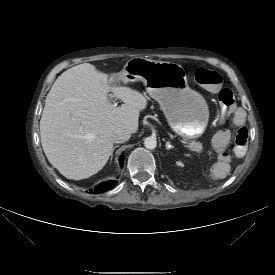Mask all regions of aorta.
Listing matches in <instances>:
<instances>
[{"label": "aorta", "instance_id": "762f6f07", "mask_svg": "<svg viewBox=\"0 0 275 275\" xmlns=\"http://www.w3.org/2000/svg\"><path fill=\"white\" fill-rule=\"evenodd\" d=\"M144 146H145L147 149H150V150L155 149L156 146H157V141H156V139L153 138V137H147V138H145V140H144Z\"/></svg>", "mask_w": 275, "mask_h": 275}]
</instances>
